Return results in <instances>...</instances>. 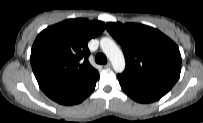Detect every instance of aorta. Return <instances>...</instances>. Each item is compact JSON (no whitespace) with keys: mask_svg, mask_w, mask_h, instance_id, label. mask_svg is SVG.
Returning a JSON list of instances; mask_svg holds the SVG:
<instances>
[{"mask_svg":"<svg viewBox=\"0 0 203 123\" xmlns=\"http://www.w3.org/2000/svg\"><path fill=\"white\" fill-rule=\"evenodd\" d=\"M100 47L106 57L111 61L115 72H123L125 69V59L116 43L111 38L103 37L100 40Z\"/></svg>","mask_w":203,"mask_h":123,"instance_id":"aorta-1","label":"aorta"}]
</instances>
